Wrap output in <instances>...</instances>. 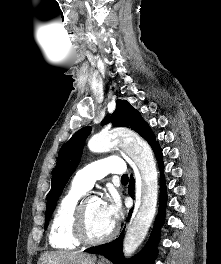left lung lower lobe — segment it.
<instances>
[{
    "label": "left lung lower lobe",
    "instance_id": "left-lung-lower-lobe-1",
    "mask_svg": "<svg viewBox=\"0 0 221 264\" xmlns=\"http://www.w3.org/2000/svg\"><path fill=\"white\" fill-rule=\"evenodd\" d=\"M153 151L158 160L160 172H161L160 203H159L157 221L152 230L151 236L147 244L145 245V247L139 254H137L130 260H125L123 257V253H122V249H123V232H122L120 236L113 242L103 244L100 246H96L93 248H89L86 250V252H89L92 254H102L104 257L109 259L114 264H153V261L157 254L156 245L159 240V233H160L161 225L164 222L165 208L167 204V193H166L165 180L163 176V171H164L163 158H162V151L160 149L159 144H157L153 148ZM128 192L131 195V197H134V179L132 176L130 178ZM131 212L132 210L130 211L128 218H130Z\"/></svg>",
    "mask_w": 221,
    "mask_h": 264
}]
</instances>
